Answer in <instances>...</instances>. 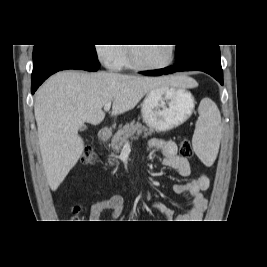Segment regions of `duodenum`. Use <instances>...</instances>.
<instances>
[{
	"mask_svg": "<svg viewBox=\"0 0 267 267\" xmlns=\"http://www.w3.org/2000/svg\"><path fill=\"white\" fill-rule=\"evenodd\" d=\"M111 136V130L109 128H102L99 132L100 141H107Z\"/></svg>",
	"mask_w": 267,
	"mask_h": 267,
	"instance_id": "1",
	"label": "duodenum"
}]
</instances>
